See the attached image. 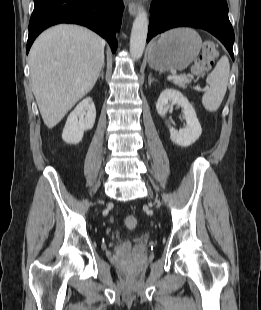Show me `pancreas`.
<instances>
[{
    "label": "pancreas",
    "mask_w": 261,
    "mask_h": 310,
    "mask_svg": "<svg viewBox=\"0 0 261 310\" xmlns=\"http://www.w3.org/2000/svg\"><path fill=\"white\" fill-rule=\"evenodd\" d=\"M192 80V77H188L186 75L177 76V78L173 79L175 85L186 88V84Z\"/></svg>",
    "instance_id": "pancreas-1"
}]
</instances>
